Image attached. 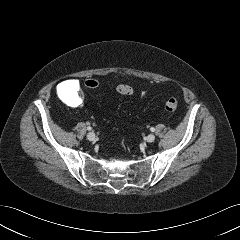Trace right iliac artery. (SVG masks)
Returning a JSON list of instances; mask_svg holds the SVG:
<instances>
[{
  "instance_id": "1",
  "label": "right iliac artery",
  "mask_w": 240,
  "mask_h": 240,
  "mask_svg": "<svg viewBox=\"0 0 240 240\" xmlns=\"http://www.w3.org/2000/svg\"><path fill=\"white\" fill-rule=\"evenodd\" d=\"M87 130H89V131L92 130V127H91V126H88V127H87Z\"/></svg>"
}]
</instances>
